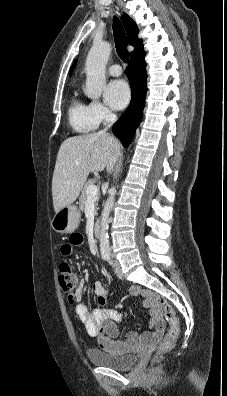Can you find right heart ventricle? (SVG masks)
Listing matches in <instances>:
<instances>
[{"mask_svg":"<svg viewBox=\"0 0 227 396\" xmlns=\"http://www.w3.org/2000/svg\"><path fill=\"white\" fill-rule=\"evenodd\" d=\"M68 119L71 128L81 134L89 133L98 126L90 113L89 106L83 103L78 97H74L70 103Z\"/></svg>","mask_w":227,"mask_h":396,"instance_id":"1","label":"right heart ventricle"}]
</instances>
